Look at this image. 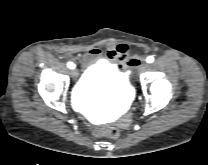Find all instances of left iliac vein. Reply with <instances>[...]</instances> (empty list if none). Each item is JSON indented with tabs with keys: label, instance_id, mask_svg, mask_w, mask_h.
<instances>
[{
	"label": "left iliac vein",
	"instance_id": "4c4485c4",
	"mask_svg": "<svg viewBox=\"0 0 208 165\" xmlns=\"http://www.w3.org/2000/svg\"><path fill=\"white\" fill-rule=\"evenodd\" d=\"M149 68V64L147 62H142L139 67H138V71L139 72H144Z\"/></svg>",
	"mask_w": 208,
	"mask_h": 165
}]
</instances>
